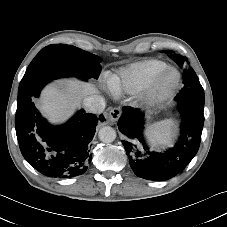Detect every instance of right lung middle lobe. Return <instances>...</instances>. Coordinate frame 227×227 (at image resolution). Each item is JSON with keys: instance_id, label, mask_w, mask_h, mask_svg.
Instances as JSON below:
<instances>
[{"instance_id": "1", "label": "right lung middle lobe", "mask_w": 227, "mask_h": 227, "mask_svg": "<svg viewBox=\"0 0 227 227\" xmlns=\"http://www.w3.org/2000/svg\"><path fill=\"white\" fill-rule=\"evenodd\" d=\"M101 58L77 47L58 44L43 48L28 66L18 93L31 85L60 77L98 79Z\"/></svg>"}]
</instances>
